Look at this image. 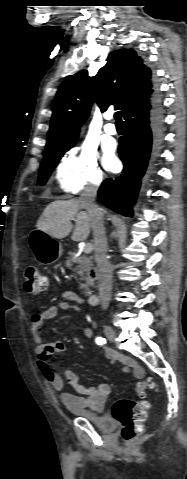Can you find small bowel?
I'll return each mask as SVG.
<instances>
[{"instance_id":"c3829d8e","label":"small bowel","mask_w":187,"mask_h":479,"mask_svg":"<svg viewBox=\"0 0 187 479\" xmlns=\"http://www.w3.org/2000/svg\"><path fill=\"white\" fill-rule=\"evenodd\" d=\"M80 304H84V299L80 295L74 291H66L62 294V300L58 304L32 316L31 327L36 343L37 366L43 378L52 388L60 392V400L67 409L71 411L87 409L94 412H103L105 402L110 394L109 385L102 383L98 386H84L79 382L78 375L73 370L67 368L64 370V375L74 392L65 391L64 380L59 373L51 368L50 360L53 355L64 351L66 345L63 342L45 343L43 340L42 329L46 321L55 318L61 310L78 311V305ZM91 336V328L86 327L84 329V337L90 338ZM103 352L112 364H122L126 371H131L138 379L144 376L143 369L134 360L108 348H104Z\"/></svg>"}]
</instances>
